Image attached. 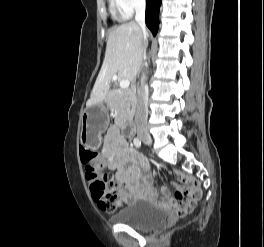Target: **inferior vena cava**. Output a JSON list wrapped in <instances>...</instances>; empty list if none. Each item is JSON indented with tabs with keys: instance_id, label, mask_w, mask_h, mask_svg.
<instances>
[{
	"instance_id": "inferior-vena-cava-1",
	"label": "inferior vena cava",
	"mask_w": 264,
	"mask_h": 247,
	"mask_svg": "<svg viewBox=\"0 0 264 247\" xmlns=\"http://www.w3.org/2000/svg\"><path fill=\"white\" fill-rule=\"evenodd\" d=\"M145 8H146V1L145 0H137L135 5V21L141 28V31L144 35L147 34L146 32V25H145ZM146 44L144 45V59L146 58ZM148 86L146 84H141L137 88V106H136V113H135V123L137 127L144 125L147 121L148 116Z\"/></svg>"
}]
</instances>
